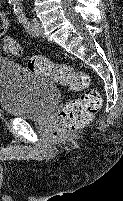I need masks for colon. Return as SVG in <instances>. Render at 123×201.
Here are the masks:
<instances>
[{
	"label": "colon",
	"instance_id": "5ec220e1",
	"mask_svg": "<svg viewBox=\"0 0 123 201\" xmlns=\"http://www.w3.org/2000/svg\"><path fill=\"white\" fill-rule=\"evenodd\" d=\"M2 47L14 56L21 55L20 46L10 36L3 39ZM28 68L38 75L51 77L61 85L82 92L80 97L66 103L59 112L54 125L55 138L79 130L92 121L101 107L102 100L97 90L89 88L90 79L86 72L76 71L68 65L54 64L40 55L29 58Z\"/></svg>",
	"mask_w": 123,
	"mask_h": 201
}]
</instances>
